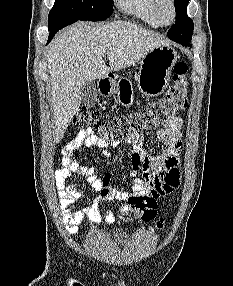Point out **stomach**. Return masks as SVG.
I'll list each match as a JSON object with an SVG mask.
<instances>
[{"instance_id": "1", "label": "stomach", "mask_w": 233, "mask_h": 286, "mask_svg": "<svg viewBox=\"0 0 233 286\" xmlns=\"http://www.w3.org/2000/svg\"><path fill=\"white\" fill-rule=\"evenodd\" d=\"M177 52L171 46H161L150 51L141 59L137 85L141 93L147 96L161 94L169 85L171 70L177 61ZM116 92L122 104L132 101L131 88L117 89Z\"/></svg>"}]
</instances>
